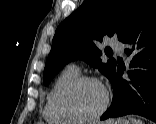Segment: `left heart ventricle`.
Wrapping results in <instances>:
<instances>
[{
    "label": "left heart ventricle",
    "mask_w": 156,
    "mask_h": 124,
    "mask_svg": "<svg viewBox=\"0 0 156 124\" xmlns=\"http://www.w3.org/2000/svg\"><path fill=\"white\" fill-rule=\"evenodd\" d=\"M104 102V90L93 82L79 85L69 97V105L78 114L89 116L96 113Z\"/></svg>",
    "instance_id": "left-heart-ventricle-1"
}]
</instances>
